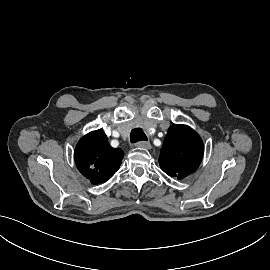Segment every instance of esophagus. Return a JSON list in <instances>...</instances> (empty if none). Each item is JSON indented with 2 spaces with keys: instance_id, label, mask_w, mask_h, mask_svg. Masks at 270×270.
Instances as JSON below:
<instances>
[{
  "instance_id": "34e87169",
  "label": "esophagus",
  "mask_w": 270,
  "mask_h": 270,
  "mask_svg": "<svg viewBox=\"0 0 270 270\" xmlns=\"http://www.w3.org/2000/svg\"><path fill=\"white\" fill-rule=\"evenodd\" d=\"M136 147L143 149H151V144L148 141H139L136 143Z\"/></svg>"
}]
</instances>
